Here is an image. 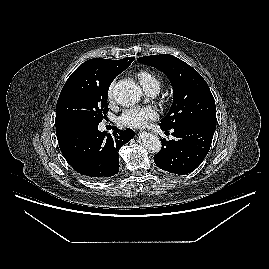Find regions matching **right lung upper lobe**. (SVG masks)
I'll use <instances>...</instances> for the list:
<instances>
[{
	"instance_id": "1",
	"label": "right lung upper lobe",
	"mask_w": 269,
	"mask_h": 269,
	"mask_svg": "<svg viewBox=\"0 0 269 269\" xmlns=\"http://www.w3.org/2000/svg\"><path fill=\"white\" fill-rule=\"evenodd\" d=\"M134 57L121 60L90 59L80 65L71 75L82 76L98 83H112L114 78L129 67Z\"/></svg>"
}]
</instances>
